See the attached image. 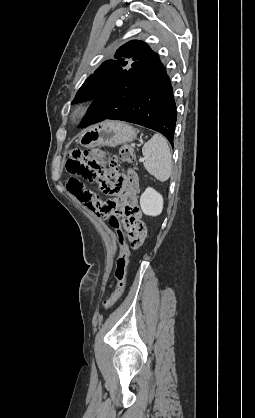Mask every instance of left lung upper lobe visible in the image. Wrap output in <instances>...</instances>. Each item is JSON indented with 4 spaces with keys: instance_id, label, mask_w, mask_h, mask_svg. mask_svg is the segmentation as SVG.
<instances>
[{
    "instance_id": "obj_1",
    "label": "left lung upper lobe",
    "mask_w": 255,
    "mask_h": 418,
    "mask_svg": "<svg viewBox=\"0 0 255 418\" xmlns=\"http://www.w3.org/2000/svg\"><path fill=\"white\" fill-rule=\"evenodd\" d=\"M154 51L142 41L134 40L121 46L114 60H107L91 74L77 92L72 104L94 100L115 84L130 68L136 66Z\"/></svg>"
}]
</instances>
